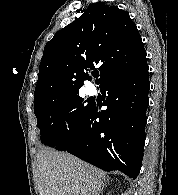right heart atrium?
<instances>
[{"label": "right heart atrium", "mask_w": 178, "mask_h": 195, "mask_svg": "<svg viewBox=\"0 0 178 195\" xmlns=\"http://www.w3.org/2000/svg\"><path fill=\"white\" fill-rule=\"evenodd\" d=\"M62 122H63V125L66 127L69 125V122H70V113L69 112H66L63 115Z\"/></svg>", "instance_id": "d8ad5b80"}]
</instances>
